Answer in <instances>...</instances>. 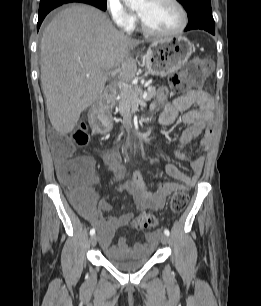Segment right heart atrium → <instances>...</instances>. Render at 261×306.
<instances>
[{
	"label": "right heart atrium",
	"instance_id": "obj_1",
	"mask_svg": "<svg viewBox=\"0 0 261 306\" xmlns=\"http://www.w3.org/2000/svg\"><path fill=\"white\" fill-rule=\"evenodd\" d=\"M106 7L118 28L124 31H129L133 28L135 17L125 8L121 0H106Z\"/></svg>",
	"mask_w": 261,
	"mask_h": 306
}]
</instances>
